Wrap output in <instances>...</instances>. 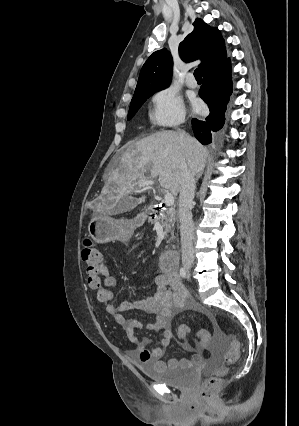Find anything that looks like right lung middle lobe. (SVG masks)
Masks as SVG:
<instances>
[{"instance_id": "right-lung-middle-lobe-1", "label": "right lung middle lobe", "mask_w": 299, "mask_h": 426, "mask_svg": "<svg viewBox=\"0 0 299 426\" xmlns=\"http://www.w3.org/2000/svg\"><path fill=\"white\" fill-rule=\"evenodd\" d=\"M153 93L154 92H144V93H138L133 96L131 104H130L127 120H130L135 115V113L142 106L145 100L149 98Z\"/></svg>"}]
</instances>
